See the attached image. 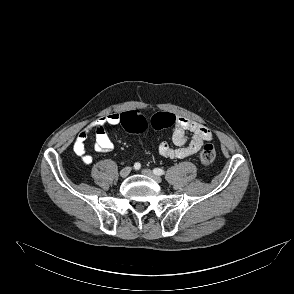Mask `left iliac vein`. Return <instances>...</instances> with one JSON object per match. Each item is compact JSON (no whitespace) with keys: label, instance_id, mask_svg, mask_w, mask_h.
Wrapping results in <instances>:
<instances>
[{"label":"left iliac vein","instance_id":"left-iliac-vein-1","mask_svg":"<svg viewBox=\"0 0 294 294\" xmlns=\"http://www.w3.org/2000/svg\"><path fill=\"white\" fill-rule=\"evenodd\" d=\"M142 174L152 178L153 180H155L157 183H160L162 181V178L158 175H156L155 173H153L151 170L149 169H143L142 170Z\"/></svg>","mask_w":294,"mask_h":294}]
</instances>
